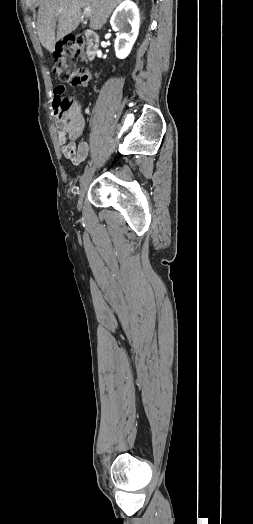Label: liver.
I'll list each match as a JSON object with an SVG mask.
<instances>
[{"label":"liver","mask_w":253,"mask_h":524,"mask_svg":"<svg viewBox=\"0 0 253 524\" xmlns=\"http://www.w3.org/2000/svg\"><path fill=\"white\" fill-rule=\"evenodd\" d=\"M121 2L122 0H39L36 23L39 40L43 47L53 52L56 41L78 27L83 7L91 8L90 28L99 30Z\"/></svg>","instance_id":"1"}]
</instances>
